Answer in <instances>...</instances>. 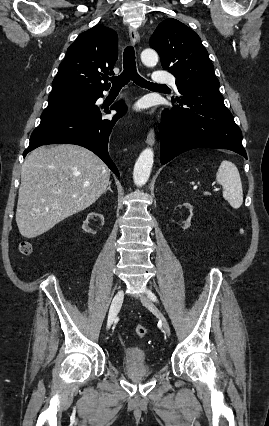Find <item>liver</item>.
<instances>
[{
  "instance_id": "obj_1",
  "label": "liver",
  "mask_w": 269,
  "mask_h": 426,
  "mask_svg": "<svg viewBox=\"0 0 269 426\" xmlns=\"http://www.w3.org/2000/svg\"><path fill=\"white\" fill-rule=\"evenodd\" d=\"M110 170L88 149L59 144L33 150L21 169L16 223L35 238L91 206L105 192Z\"/></svg>"
}]
</instances>
